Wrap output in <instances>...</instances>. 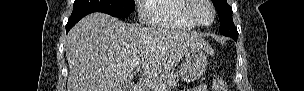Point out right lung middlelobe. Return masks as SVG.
Returning <instances> with one entry per match:
<instances>
[{
	"instance_id": "obj_1",
	"label": "right lung middle lobe",
	"mask_w": 304,
	"mask_h": 91,
	"mask_svg": "<svg viewBox=\"0 0 304 91\" xmlns=\"http://www.w3.org/2000/svg\"><path fill=\"white\" fill-rule=\"evenodd\" d=\"M135 9L134 0H75L73 11L91 10L126 18Z\"/></svg>"
}]
</instances>
